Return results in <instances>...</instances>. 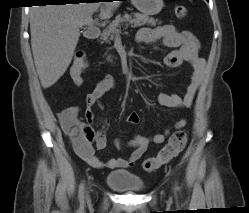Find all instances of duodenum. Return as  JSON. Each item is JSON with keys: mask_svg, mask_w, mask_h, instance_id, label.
Segmentation results:
<instances>
[{"mask_svg": "<svg viewBox=\"0 0 249 213\" xmlns=\"http://www.w3.org/2000/svg\"><path fill=\"white\" fill-rule=\"evenodd\" d=\"M99 35V30L96 27L89 28L86 31V39L89 41H94Z\"/></svg>", "mask_w": 249, "mask_h": 213, "instance_id": "410a0bca", "label": "duodenum"}]
</instances>
